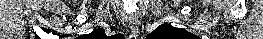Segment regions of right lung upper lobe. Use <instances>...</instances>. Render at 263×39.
<instances>
[{
    "mask_svg": "<svg viewBox=\"0 0 263 39\" xmlns=\"http://www.w3.org/2000/svg\"><path fill=\"white\" fill-rule=\"evenodd\" d=\"M103 33H104V29L98 28V29L94 30L92 33H90L88 38H92L93 39V37L94 38L100 37V34L103 35ZM104 35H105V33H104ZM117 35H119V34H117ZM104 37H106V36H104Z\"/></svg>",
    "mask_w": 263,
    "mask_h": 39,
    "instance_id": "1",
    "label": "right lung upper lobe"
}]
</instances>
